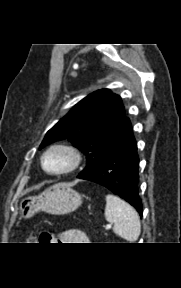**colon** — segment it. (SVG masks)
I'll use <instances>...</instances> for the list:
<instances>
[{
	"label": "colon",
	"instance_id": "1",
	"mask_svg": "<svg viewBox=\"0 0 181 288\" xmlns=\"http://www.w3.org/2000/svg\"><path fill=\"white\" fill-rule=\"evenodd\" d=\"M47 238H48V235L46 234H43L41 235L39 238L35 237V236H30L28 238V242L29 243H34V242H47Z\"/></svg>",
	"mask_w": 181,
	"mask_h": 288
}]
</instances>
